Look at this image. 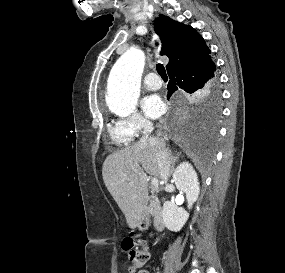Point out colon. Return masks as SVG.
I'll use <instances>...</instances> for the list:
<instances>
[{"label": "colon", "mask_w": 285, "mask_h": 273, "mask_svg": "<svg viewBox=\"0 0 285 273\" xmlns=\"http://www.w3.org/2000/svg\"><path fill=\"white\" fill-rule=\"evenodd\" d=\"M123 249L128 255V273H134L142 268L149 260L150 253L147 246L132 238L123 240Z\"/></svg>", "instance_id": "5ec220e1"}]
</instances>
